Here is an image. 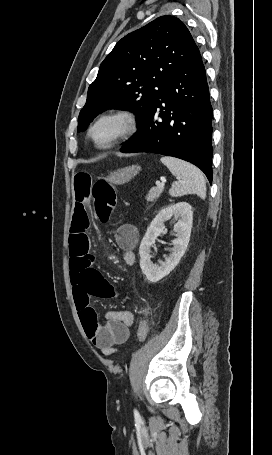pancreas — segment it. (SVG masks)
I'll use <instances>...</instances> for the list:
<instances>
[{"instance_id":"cf45deb5","label":"pancreas","mask_w":272,"mask_h":455,"mask_svg":"<svg viewBox=\"0 0 272 455\" xmlns=\"http://www.w3.org/2000/svg\"><path fill=\"white\" fill-rule=\"evenodd\" d=\"M162 192L163 188L160 187L151 188L146 196L147 202H153L154 200L158 199Z\"/></svg>"}]
</instances>
